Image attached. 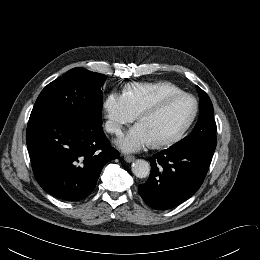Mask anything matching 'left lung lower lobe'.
<instances>
[{"mask_svg": "<svg viewBox=\"0 0 260 260\" xmlns=\"http://www.w3.org/2000/svg\"><path fill=\"white\" fill-rule=\"evenodd\" d=\"M214 152L170 147L149 158L152 171L138 192L147 205L168 210L200 188Z\"/></svg>", "mask_w": 260, "mask_h": 260, "instance_id": "obj_1", "label": "left lung lower lobe"}]
</instances>
